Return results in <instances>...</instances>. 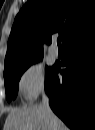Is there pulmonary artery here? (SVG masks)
Masks as SVG:
<instances>
[{
	"label": "pulmonary artery",
	"mask_w": 95,
	"mask_h": 130,
	"mask_svg": "<svg viewBox=\"0 0 95 130\" xmlns=\"http://www.w3.org/2000/svg\"><path fill=\"white\" fill-rule=\"evenodd\" d=\"M49 53L51 56L53 57H57L58 56V47L55 43H53L50 48H49Z\"/></svg>",
	"instance_id": "1"
}]
</instances>
